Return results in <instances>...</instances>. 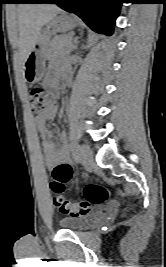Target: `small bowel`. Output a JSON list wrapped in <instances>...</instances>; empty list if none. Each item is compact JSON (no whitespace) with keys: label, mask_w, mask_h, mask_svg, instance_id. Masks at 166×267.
<instances>
[{"label":"small bowel","mask_w":166,"mask_h":267,"mask_svg":"<svg viewBox=\"0 0 166 267\" xmlns=\"http://www.w3.org/2000/svg\"><path fill=\"white\" fill-rule=\"evenodd\" d=\"M61 68L64 76L69 74V69L65 65L51 64L50 70L53 73V77L45 80V86L51 89V91L55 94L57 92V80L56 73ZM57 108L52 106L50 109L36 114L34 119L37 125V129L41 136V148L43 152V156L45 159L46 166L52 170L57 167H66L72 170L71 168V159L68 153L67 147V137L65 132H61L59 135V147L56 148L51 138L53 136L52 130H50L46 126V122L54 118L56 114Z\"/></svg>","instance_id":"small-bowel-1"}]
</instances>
